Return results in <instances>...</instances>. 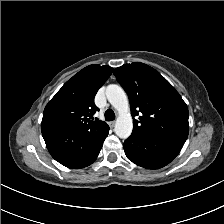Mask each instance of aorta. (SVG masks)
<instances>
[{
  "mask_svg": "<svg viewBox=\"0 0 224 224\" xmlns=\"http://www.w3.org/2000/svg\"><path fill=\"white\" fill-rule=\"evenodd\" d=\"M106 97L118 112L114 128L116 135L122 139L128 138L132 133L133 122L125 91L119 85L110 84L106 87Z\"/></svg>",
  "mask_w": 224,
  "mask_h": 224,
  "instance_id": "aorta-1",
  "label": "aorta"
}]
</instances>
